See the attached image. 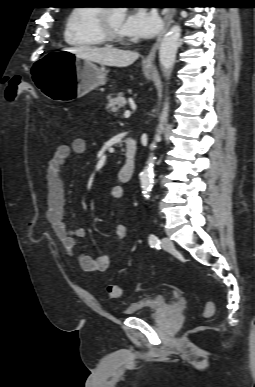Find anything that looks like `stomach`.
Instances as JSON below:
<instances>
[{"mask_svg":"<svg viewBox=\"0 0 255 387\" xmlns=\"http://www.w3.org/2000/svg\"><path fill=\"white\" fill-rule=\"evenodd\" d=\"M48 55L33 59L28 76L29 82L43 91L45 99L68 100L80 97L106 82L107 70L91 61L82 60L65 46H46ZM152 64L144 66V72L151 78Z\"/></svg>","mask_w":255,"mask_h":387,"instance_id":"stomach-1","label":"stomach"}]
</instances>
